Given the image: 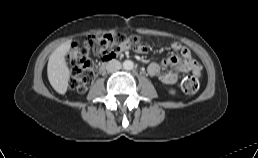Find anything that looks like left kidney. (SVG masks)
I'll return each mask as SVG.
<instances>
[{
	"label": "left kidney",
	"mask_w": 258,
	"mask_h": 158,
	"mask_svg": "<svg viewBox=\"0 0 258 158\" xmlns=\"http://www.w3.org/2000/svg\"><path fill=\"white\" fill-rule=\"evenodd\" d=\"M169 93L172 94V95H174V94H175V90L170 89V90H169Z\"/></svg>",
	"instance_id": "5707ae66"
}]
</instances>
